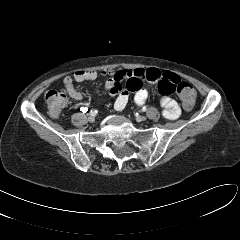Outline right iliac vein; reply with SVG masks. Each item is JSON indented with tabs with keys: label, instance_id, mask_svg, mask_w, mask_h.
<instances>
[{
	"label": "right iliac vein",
	"instance_id": "right-iliac-vein-1",
	"mask_svg": "<svg viewBox=\"0 0 240 240\" xmlns=\"http://www.w3.org/2000/svg\"><path fill=\"white\" fill-rule=\"evenodd\" d=\"M88 121H89V122H94V121H95V116L92 115V114H90V115L88 116Z\"/></svg>",
	"mask_w": 240,
	"mask_h": 240
}]
</instances>
